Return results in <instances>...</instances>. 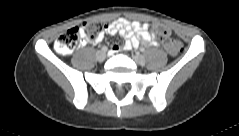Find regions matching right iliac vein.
I'll use <instances>...</instances> for the list:
<instances>
[{
	"label": "right iliac vein",
	"instance_id": "1",
	"mask_svg": "<svg viewBox=\"0 0 239 136\" xmlns=\"http://www.w3.org/2000/svg\"><path fill=\"white\" fill-rule=\"evenodd\" d=\"M96 57H97L98 61H100V62L104 61L105 58H106V52L103 51V50H100V51L97 52Z\"/></svg>",
	"mask_w": 239,
	"mask_h": 136
}]
</instances>
